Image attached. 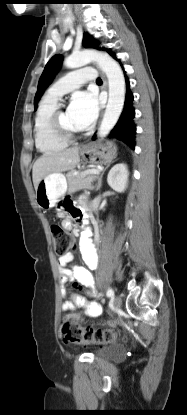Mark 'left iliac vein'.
<instances>
[{
	"label": "left iliac vein",
	"mask_w": 187,
	"mask_h": 415,
	"mask_svg": "<svg viewBox=\"0 0 187 415\" xmlns=\"http://www.w3.org/2000/svg\"><path fill=\"white\" fill-rule=\"evenodd\" d=\"M121 304H122V298H121V296L120 295H116L115 297H114V301H113V305H114V307L117 309V308H120L121 307Z\"/></svg>",
	"instance_id": "obj_1"
}]
</instances>
